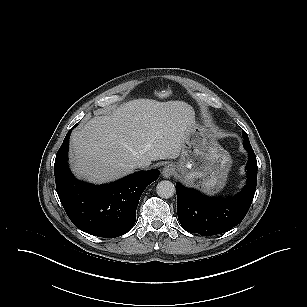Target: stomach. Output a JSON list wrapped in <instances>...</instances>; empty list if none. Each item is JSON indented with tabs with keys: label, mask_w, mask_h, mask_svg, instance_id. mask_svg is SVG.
Wrapping results in <instances>:
<instances>
[{
	"label": "stomach",
	"mask_w": 307,
	"mask_h": 307,
	"mask_svg": "<svg viewBox=\"0 0 307 307\" xmlns=\"http://www.w3.org/2000/svg\"><path fill=\"white\" fill-rule=\"evenodd\" d=\"M181 159L175 165L180 179L191 187L215 194L226 184L231 157L216 141L212 132L193 119Z\"/></svg>",
	"instance_id": "obj_1"
}]
</instances>
